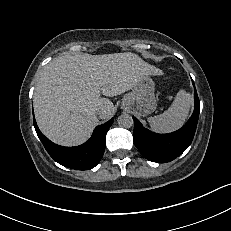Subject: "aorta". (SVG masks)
<instances>
[{
	"instance_id": "obj_1",
	"label": "aorta",
	"mask_w": 231,
	"mask_h": 231,
	"mask_svg": "<svg viewBox=\"0 0 231 231\" xmlns=\"http://www.w3.org/2000/svg\"><path fill=\"white\" fill-rule=\"evenodd\" d=\"M117 123L122 128H130L133 126L134 121L132 116H130L129 114H122L118 117Z\"/></svg>"
}]
</instances>
